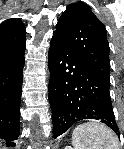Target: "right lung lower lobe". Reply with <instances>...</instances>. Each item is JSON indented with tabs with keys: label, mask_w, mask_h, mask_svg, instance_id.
<instances>
[{
	"label": "right lung lower lobe",
	"mask_w": 124,
	"mask_h": 149,
	"mask_svg": "<svg viewBox=\"0 0 124 149\" xmlns=\"http://www.w3.org/2000/svg\"><path fill=\"white\" fill-rule=\"evenodd\" d=\"M25 39L0 45V138L15 146L20 132V98L23 79Z\"/></svg>",
	"instance_id": "1"
}]
</instances>
